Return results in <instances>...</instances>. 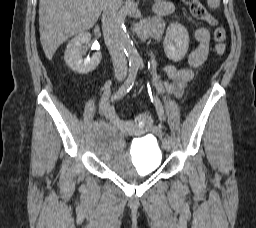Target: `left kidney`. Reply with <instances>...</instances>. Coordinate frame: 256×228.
<instances>
[{
    "mask_svg": "<svg viewBox=\"0 0 256 228\" xmlns=\"http://www.w3.org/2000/svg\"><path fill=\"white\" fill-rule=\"evenodd\" d=\"M163 46L166 56L171 61H181L189 48V35L186 28L179 23H171L167 28Z\"/></svg>",
    "mask_w": 256,
    "mask_h": 228,
    "instance_id": "left-kidney-1",
    "label": "left kidney"
}]
</instances>
